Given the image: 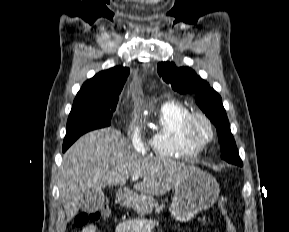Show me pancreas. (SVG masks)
<instances>
[{"label":"pancreas","instance_id":"1","mask_svg":"<svg viewBox=\"0 0 289 232\" xmlns=\"http://www.w3.org/2000/svg\"><path fill=\"white\" fill-rule=\"evenodd\" d=\"M155 206V212L159 213L163 209V205H158L157 203L154 204Z\"/></svg>","mask_w":289,"mask_h":232}]
</instances>
